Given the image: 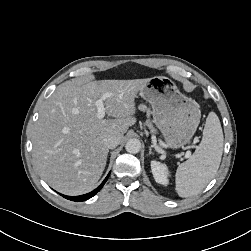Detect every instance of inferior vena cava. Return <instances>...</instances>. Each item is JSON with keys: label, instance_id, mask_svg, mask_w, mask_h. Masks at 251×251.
<instances>
[{"label": "inferior vena cava", "instance_id": "obj_1", "mask_svg": "<svg viewBox=\"0 0 251 251\" xmlns=\"http://www.w3.org/2000/svg\"><path fill=\"white\" fill-rule=\"evenodd\" d=\"M120 143V138L116 135H109L104 139V144L107 146L109 149H113L117 147Z\"/></svg>", "mask_w": 251, "mask_h": 251}]
</instances>
